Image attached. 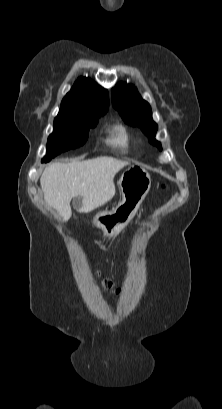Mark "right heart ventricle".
Segmentation results:
<instances>
[{"mask_svg":"<svg viewBox=\"0 0 222 409\" xmlns=\"http://www.w3.org/2000/svg\"><path fill=\"white\" fill-rule=\"evenodd\" d=\"M110 142L118 148L126 149L128 146L126 130L123 127H115Z\"/></svg>","mask_w":222,"mask_h":409,"instance_id":"right-heart-ventricle-1","label":"right heart ventricle"}]
</instances>
